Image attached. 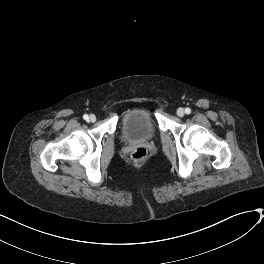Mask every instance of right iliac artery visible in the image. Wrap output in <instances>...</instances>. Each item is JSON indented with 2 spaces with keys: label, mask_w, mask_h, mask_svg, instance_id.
<instances>
[{
  "label": "right iliac artery",
  "mask_w": 264,
  "mask_h": 264,
  "mask_svg": "<svg viewBox=\"0 0 264 264\" xmlns=\"http://www.w3.org/2000/svg\"><path fill=\"white\" fill-rule=\"evenodd\" d=\"M88 118H89V117H88L87 114H84V115H83V119H84V120H88Z\"/></svg>",
  "instance_id": "right-iliac-artery-1"
}]
</instances>
